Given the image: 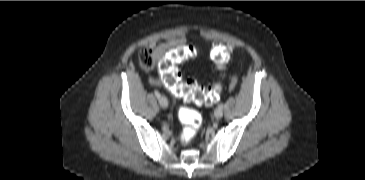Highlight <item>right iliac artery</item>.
<instances>
[{"label": "right iliac artery", "mask_w": 365, "mask_h": 180, "mask_svg": "<svg viewBox=\"0 0 365 180\" xmlns=\"http://www.w3.org/2000/svg\"><path fill=\"white\" fill-rule=\"evenodd\" d=\"M154 94L157 98H160V93L157 90H154Z\"/></svg>", "instance_id": "obj_1"}]
</instances>
